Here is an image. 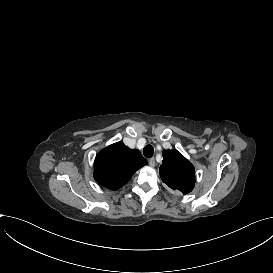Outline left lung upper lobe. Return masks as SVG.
Masks as SVG:
<instances>
[{
	"label": "left lung upper lobe",
	"instance_id": "obj_1",
	"mask_svg": "<svg viewBox=\"0 0 273 273\" xmlns=\"http://www.w3.org/2000/svg\"><path fill=\"white\" fill-rule=\"evenodd\" d=\"M162 181L183 194L192 191L195 183L194 166L177 150L163 151V161L159 168Z\"/></svg>",
	"mask_w": 273,
	"mask_h": 273
}]
</instances>
